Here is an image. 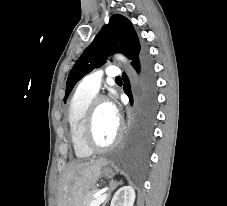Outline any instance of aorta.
<instances>
[{
    "mask_svg": "<svg viewBox=\"0 0 227 206\" xmlns=\"http://www.w3.org/2000/svg\"><path fill=\"white\" fill-rule=\"evenodd\" d=\"M116 58L119 59L120 61H123V62L126 61V58L122 55H116Z\"/></svg>",
    "mask_w": 227,
    "mask_h": 206,
    "instance_id": "762f6f07",
    "label": "aorta"
}]
</instances>
